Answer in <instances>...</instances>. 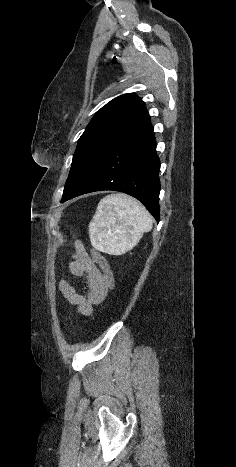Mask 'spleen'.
<instances>
[{"mask_svg": "<svg viewBox=\"0 0 236 467\" xmlns=\"http://www.w3.org/2000/svg\"><path fill=\"white\" fill-rule=\"evenodd\" d=\"M149 212L133 198L110 194L98 204L89 223V238L97 250L121 255L137 245L145 232L152 229Z\"/></svg>", "mask_w": 236, "mask_h": 467, "instance_id": "1", "label": "spleen"}]
</instances>
